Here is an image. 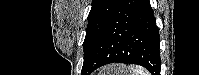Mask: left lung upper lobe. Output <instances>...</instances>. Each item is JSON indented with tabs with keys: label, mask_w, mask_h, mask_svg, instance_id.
Returning <instances> with one entry per match:
<instances>
[{
	"label": "left lung upper lobe",
	"mask_w": 199,
	"mask_h": 75,
	"mask_svg": "<svg viewBox=\"0 0 199 75\" xmlns=\"http://www.w3.org/2000/svg\"><path fill=\"white\" fill-rule=\"evenodd\" d=\"M121 1L122 0H92V7L88 15L86 36L83 43L84 63L82 72L89 63L110 17Z\"/></svg>",
	"instance_id": "5c2ea615"
}]
</instances>
